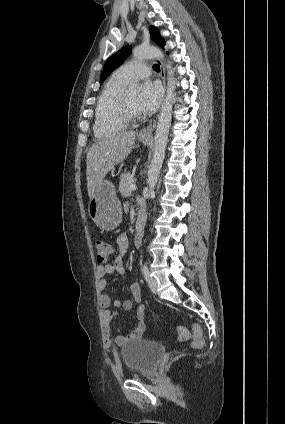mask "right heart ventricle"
<instances>
[{
  "instance_id": "obj_1",
  "label": "right heart ventricle",
  "mask_w": 285,
  "mask_h": 424,
  "mask_svg": "<svg viewBox=\"0 0 285 424\" xmlns=\"http://www.w3.org/2000/svg\"><path fill=\"white\" fill-rule=\"evenodd\" d=\"M126 82L114 74L106 82L97 101L94 121V134L97 138H104L117 134L127 126L118 116V102Z\"/></svg>"
}]
</instances>
